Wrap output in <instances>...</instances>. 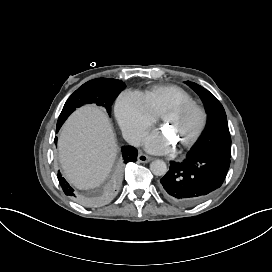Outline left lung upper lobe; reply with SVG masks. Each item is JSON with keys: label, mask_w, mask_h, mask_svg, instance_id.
I'll list each match as a JSON object with an SVG mask.
<instances>
[{"label": "left lung upper lobe", "mask_w": 272, "mask_h": 272, "mask_svg": "<svg viewBox=\"0 0 272 272\" xmlns=\"http://www.w3.org/2000/svg\"><path fill=\"white\" fill-rule=\"evenodd\" d=\"M186 83L200 96L208 114L206 129L190 155L215 153L230 157L231 137L222 104L202 86L190 81Z\"/></svg>", "instance_id": "left-lung-upper-lobe-1"}]
</instances>
